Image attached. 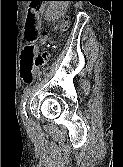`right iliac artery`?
<instances>
[{
	"label": "right iliac artery",
	"mask_w": 123,
	"mask_h": 167,
	"mask_svg": "<svg viewBox=\"0 0 123 167\" xmlns=\"http://www.w3.org/2000/svg\"><path fill=\"white\" fill-rule=\"evenodd\" d=\"M29 94H30V89H27L23 94L22 101H21V117L23 122L26 124L28 122V116L25 110V105H26L27 98L29 97Z\"/></svg>",
	"instance_id": "82829eb1"
}]
</instances>
